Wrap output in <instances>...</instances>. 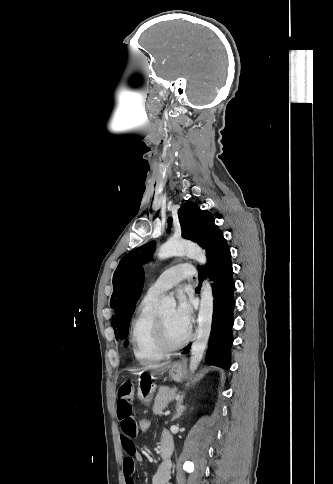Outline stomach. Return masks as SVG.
<instances>
[{
	"label": "stomach",
	"mask_w": 333,
	"mask_h": 484,
	"mask_svg": "<svg viewBox=\"0 0 333 484\" xmlns=\"http://www.w3.org/2000/svg\"><path fill=\"white\" fill-rule=\"evenodd\" d=\"M167 371L172 380L179 382L183 378L184 364L175 362L169 366ZM155 391L156 386L150 379H139L137 395L143 403H149Z\"/></svg>",
	"instance_id": "stomach-1"
}]
</instances>
